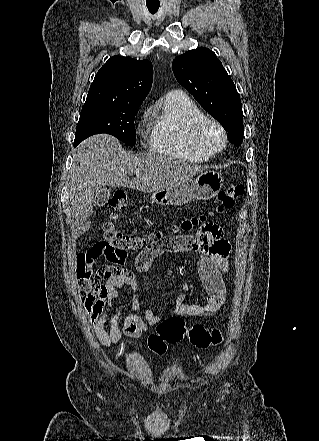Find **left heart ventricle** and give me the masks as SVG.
<instances>
[{"label": "left heart ventricle", "mask_w": 319, "mask_h": 441, "mask_svg": "<svg viewBox=\"0 0 319 441\" xmlns=\"http://www.w3.org/2000/svg\"><path fill=\"white\" fill-rule=\"evenodd\" d=\"M208 140L211 144L217 145L220 141V136L216 130H210L208 133Z\"/></svg>", "instance_id": "b2bd125f"}]
</instances>
